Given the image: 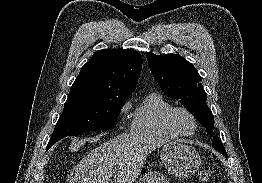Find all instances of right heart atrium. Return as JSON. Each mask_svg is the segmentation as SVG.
<instances>
[{"instance_id": "d8ad5b80", "label": "right heart atrium", "mask_w": 262, "mask_h": 183, "mask_svg": "<svg viewBox=\"0 0 262 183\" xmlns=\"http://www.w3.org/2000/svg\"><path fill=\"white\" fill-rule=\"evenodd\" d=\"M128 108H129V103H125L121 108L120 115L122 118H124V116L126 115Z\"/></svg>"}]
</instances>
